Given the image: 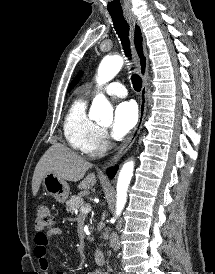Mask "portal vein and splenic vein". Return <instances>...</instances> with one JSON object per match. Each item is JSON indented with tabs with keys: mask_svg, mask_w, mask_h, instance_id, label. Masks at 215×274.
Listing matches in <instances>:
<instances>
[{
	"mask_svg": "<svg viewBox=\"0 0 215 274\" xmlns=\"http://www.w3.org/2000/svg\"><path fill=\"white\" fill-rule=\"evenodd\" d=\"M90 209H91L90 205H83V206L81 207V212H82L83 214H86V213H88V212L90 211Z\"/></svg>",
	"mask_w": 215,
	"mask_h": 274,
	"instance_id": "1",
	"label": "portal vein and splenic vein"
}]
</instances>
